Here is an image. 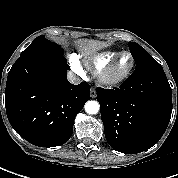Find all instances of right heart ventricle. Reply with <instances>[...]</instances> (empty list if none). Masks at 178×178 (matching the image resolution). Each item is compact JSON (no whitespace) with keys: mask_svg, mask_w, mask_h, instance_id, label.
<instances>
[{"mask_svg":"<svg viewBox=\"0 0 178 178\" xmlns=\"http://www.w3.org/2000/svg\"><path fill=\"white\" fill-rule=\"evenodd\" d=\"M118 51H105L94 55L86 64L92 70H101L111 62L118 54Z\"/></svg>","mask_w":178,"mask_h":178,"instance_id":"right-heart-ventricle-1","label":"right heart ventricle"}]
</instances>
